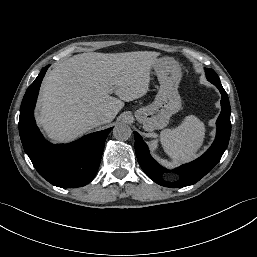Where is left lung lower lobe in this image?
Returning <instances> with one entry per match:
<instances>
[{"label": "left lung lower lobe", "instance_id": "0a47b994", "mask_svg": "<svg viewBox=\"0 0 257 257\" xmlns=\"http://www.w3.org/2000/svg\"><path fill=\"white\" fill-rule=\"evenodd\" d=\"M220 90L222 111L217 119V134L215 141L208 151L195 161L176 168L174 172L180 176L176 182H166L162 174L166 171L150 156L147 145L142 137L134 132L135 151L138 162L146 175L159 185L171 188L192 185L204 177L221 159L226 150L231 133L230 103L228 95L222 85H216Z\"/></svg>", "mask_w": 257, "mask_h": 257}]
</instances>
